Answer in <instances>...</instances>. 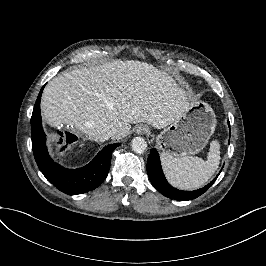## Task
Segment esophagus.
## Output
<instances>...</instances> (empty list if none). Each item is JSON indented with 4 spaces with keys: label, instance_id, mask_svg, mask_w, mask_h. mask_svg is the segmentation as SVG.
I'll use <instances>...</instances> for the list:
<instances>
[{
    "label": "esophagus",
    "instance_id": "obj_1",
    "mask_svg": "<svg viewBox=\"0 0 266 266\" xmlns=\"http://www.w3.org/2000/svg\"><path fill=\"white\" fill-rule=\"evenodd\" d=\"M138 135H144L148 132V128L141 124L139 125L137 128H136V131H135Z\"/></svg>",
    "mask_w": 266,
    "mask_h": 266
}]
</instances>
